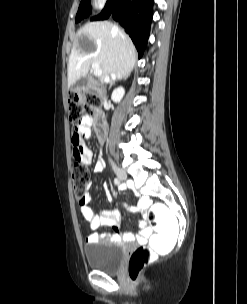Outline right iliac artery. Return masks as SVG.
I'll return each instance as SVG.
<instances>
[{
  "mask_svg": "<svg viewBox=\"0 0 247 304\" xmlns=\"http://www.w3.org/2000/svg\"><path fill=\"white\" fill-rule=\"evenodd\" d=\"M114 183H115V185L119 186V183H120V182H119V180H118L117 178H115V179H114Z\"/></svg>",
  "mask_w": 247,
  "mask_h": 304,
  "instance_id": "82829eb1",
  "label": "right iliac artery"
}]
</instances>
